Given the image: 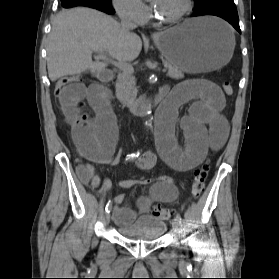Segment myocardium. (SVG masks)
Masks as SVG:
<instances>
[{"instance_id": "f54148a6", "label": "myocardium", "mask_w": 279, "mask_h": 279, "mask_svg": "<svg viewBox=\"0 0 279 279\" xmlns=\"http://www.w3.org/2000/svg\"><path fill=\"white\" fill-rule=\"evenodd\" d=\"M185 2H186V4H185L184 8L174 17L164 18V17L157 15V13L155 11H153V17L158 22L163 23V24L177 23V22L181 21L182 19H184L191 12V10L193 8V0H186Z\"/></svg>"}]
</instances>
